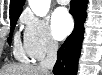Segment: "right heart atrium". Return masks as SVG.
<instances>
[{"label": "right heart atrium", "instance_id": "d8ad5b80", "mask_svg": "<svg viewBox=\"0 0 102 75\" xmlns=\"http://www.w3.org/2000/svg\"><path fill=\"white\" fill-rule=\"evenodd\" d=\"M24 45L33 60L43 59L56 51L58 44L52 38L46 20L25 13L22 16Z\"/></svg>", "mask_w": 102, "mask_h": 75}]
</instances>
